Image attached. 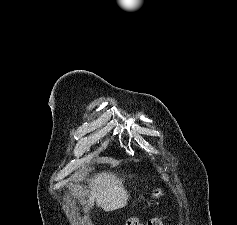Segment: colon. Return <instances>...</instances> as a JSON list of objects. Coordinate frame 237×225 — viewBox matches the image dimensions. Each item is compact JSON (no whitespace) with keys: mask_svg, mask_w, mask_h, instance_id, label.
Here are the masks:
<instances>
[{"mask_svg":"<svg viewBox=\"0 0 237 225\" xmlns=\"http://www.w3.org/2000/svg\"><path fill=\"white\" fill-rule=\"evenodd\" d=\"M126 225H163V219L156 217L150 219L146 224H143L139 219L132 217L126 221Z\"/></svg>","mask_w":237,"mask_h":225,"instance_id":"1","label":"colon"}]
</instances>
